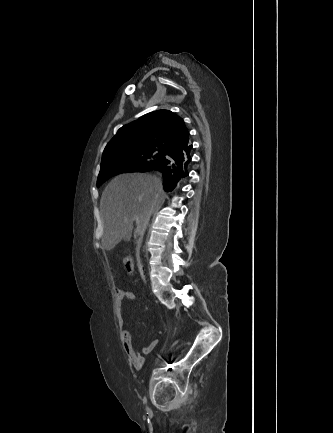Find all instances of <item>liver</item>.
Wrapping results in <instances>:
<instances>
[{
  "label": "liver",
  "mask_w": 333,
  "mask_h": 433,
  "mask_svg": "<svg viewBox=\"0 0 333 433\" xmlns=\"http://www.w3.org/2000/svg\"><path fill=\"white\" fill-rule=\"evenodd\" d=\"M165 194L159 178L147 173L115 177L104 189L100 210L104 233L102 248L110 251L122 240L130 241L134 217L142 229L144 219L163 203Z\"/></svg>",
  "instance_id": "1"
}]
</instances>
